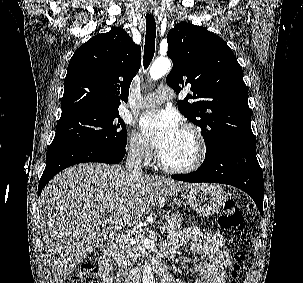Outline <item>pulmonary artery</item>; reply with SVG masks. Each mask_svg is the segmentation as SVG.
<instances>
[{"label":"pulmonary artery","mask_w":303,"mask_h":283,"mask_svg":"<svg viewBox=\"0 0 303 283\" xmlns=\"http://www.w3.org/2000/svg\"><path fill=\"white\" fill-rule=\"evenodd\" d=\"M174 96L173 90L169 86H159L155 93L148 94L139 102L140 108L154 107L164 101L171 100Z\"/></svg>","instance_id":"obj_1"}]
</instances>
